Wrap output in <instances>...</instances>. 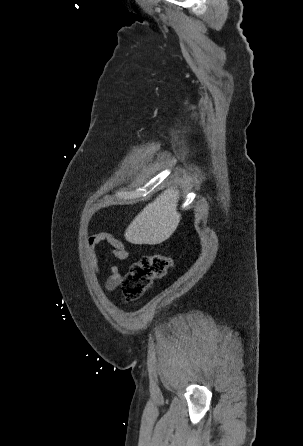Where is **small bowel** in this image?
I'll list each match as a JSON object with an SVG mask.
<instances>
[{"mask_svg": "<svg viewBox=\"0 0 303 446\" xmlns=\"http://www.w3.org/2000/svg\"><path fill=\"white\" fill-rule=\"evenodd\" d=\"M103 241L107 242L110 245L111 247L110 254L113 255L115 258L119 260H125L128 258L129 254L123 242L115 238L110 233L102 232L90 235L87 238L86 251L88 255V262L90 269L95 275H98L99 273L96 247L99 243ZM106 263L109 267L110 275L106 280L105 288L108 292H111L117 289L118 287L122 286L124 277L120 272L118 266L110 262L108 258L106 259Z\"/></svg>", "mask_w": 303, "mask_h": 446, "instance_id": "obj_1", "label": "small bowel"}]
</instances>
